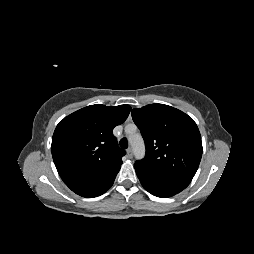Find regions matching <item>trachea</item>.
<instances>
[{
	"instance_id": "1",
	"label": "trachea",
	"mask_w": 254,
	"mask_h": 254,
	"mask_svg": "<svg viewBox=\"0 0 254 254\" xmlns=\"http://www.w3.org/2000/svg\"><path fill=\"white\" fill-rule=\"evenodd\" d=\"M121 148L127 149L128 148V141L126 138H122L119 142Z\"/></svg>"
}]
</instances>
